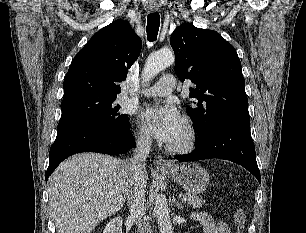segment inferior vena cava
Listing matches in <instances>:
<instances>
[{
    "label": "inferior vena cava",
    "mask_w": 306,
    "mask_h": 233,
    "mask_svg": "<svg viewBox=\"0 0 306 233\" xmlns=\"http://www.w3.org/2000/svg\"><path fill=\"white\" fill-rule=\"evenodd\" d=\"M150 145V137H139L133 157L128 162L130 179L127 189V203L130 215L136 220L139 233H152L149 223L144 219L146 210L145 158L150 152Z\"/></svg>",
    "instance_id": "1"
}]
</instances>
